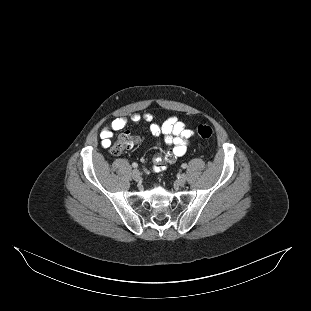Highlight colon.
Listing matches in <instances>:
<instances>
[{"instance_id": "1", "label": "colon", "mask_w": 311, "mask_h": 311, "mask_svg": "<svg viewBox=\"0 0 311 311\" xmlns=\"http://www.w3.org/2000/svg\"><path fill=\"white\" fill-rule=\"evenodd\" d=\"M196 133L202 139H211L214 136L213 128L208 125H199L196 128ZM138 142L139 137L137 135L130 131L123 132L111 146L110 152L113 155H120Z\"/></svg>"}]
</instances>
